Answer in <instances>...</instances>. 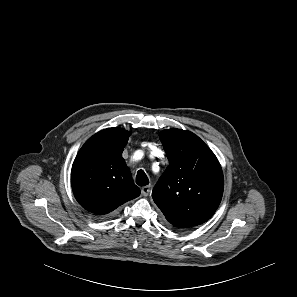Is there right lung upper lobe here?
<instances>
[{"instance_id": "obj_1", "label": "right lung upper lobe", "mask_w": 297, "mask_h": 297, "mask_svg": "<svg viewBox=\"0 0 297 297\" xmlns=\"http://www.w3.org/2000/svg\"><path fill=\"white\" fill-rule=\"evenodd\" d=\"M130 132L108 128L94 134L77 154L71 185L75 198L88 211L103 215L140 195L122 157Z\"/></svg>"}]
</instances>
